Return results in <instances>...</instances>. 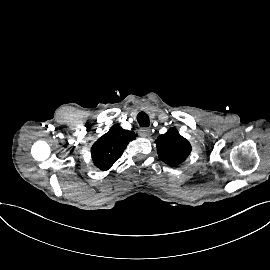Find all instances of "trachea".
<instances>
[{"label": "trachea", "mask_w": 270, "mask_h": 270, "mask_svg": "<svg viewBox=\"0 0 270 270\" xmlns=\"http://www.w3.org/2000/svg\"><path fill=\"white\" fill-rule=\"evenodd\" d=\"M137 121L140 127H148L150 125L149 117L145 112H140L137 115Z\"/></svg>", "instance_id": "obj_1"}]
</instances>
